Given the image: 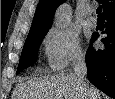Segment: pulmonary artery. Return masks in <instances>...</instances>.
Returning <instances> with one entry per match:
<instances>
[{
  "label": "pulmonary artery",
  "instance_id": "pulmonary-artery-1",
  "mask_svg": "<svg viewBox=\"0 0 115 99\" xmlns=\"http://www.w3.org/2000/svg\"><path fill=\"white\" fill-rule=\"evenodd\" d=\"M88 24L92 27L97 25V19L95 16H90L87 20Z\"/></svg>",
  "mask_w": 115,
  "mask_h": 99
}]
</instances>
